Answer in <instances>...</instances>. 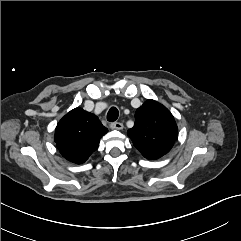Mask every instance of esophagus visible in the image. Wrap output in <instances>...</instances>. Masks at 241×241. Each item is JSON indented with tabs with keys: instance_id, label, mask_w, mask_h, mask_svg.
Segmentation results:
<instances>
[{
	"instance_id": "1",
	"label": "esophagus",
	"mask_w": 241,
	"mask_h": 241,
	"mask_svg": "<svg viewBox=\"0 0 241 241\" xmlns=\"http://www.w3.org/2000/svg\"><path fill=\"white\" fill-rule=\"evenodd\" d=\"M111 129H116V130H122L123 129V124L120 122H113L110 124Z\"/></svg>"
}]
</instances>
